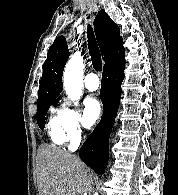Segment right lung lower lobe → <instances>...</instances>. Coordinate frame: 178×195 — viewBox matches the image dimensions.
I'll return each instance as SVG.
<instances>
[{"label": "right lung lower lobe", "mask_w": 178, "mask_h": 195, "mask_svg": "<svg viewBox=\"0 0 178 195\" xmlns=\"http://www.w3.org/2000/svg\"><path fill=\"white\" fill-rule=\"evenodd\" d=\"M124 68L125 65L103 71L100 97L104 115L79 154L84 163L99 175L104 173L108 164V138L120 104Z\"/></svg>", "instance_id": "1"}]
</instances>
